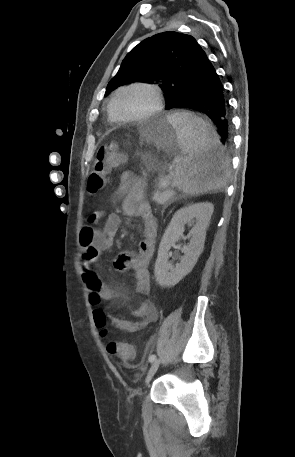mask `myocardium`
Wrapping results in <instances>:
<instances>
[{
    "label": "myocardium",
    "instance_id": "1",
    "mask_svg": "<svg viewBox=\"0 0 295 457\" xmlns=\"http://www.w3.org/2000/svg\"><path fill=\"white\" fill-rule=\"evenodd\" d=\"M132 88H143V89L149 90L154 98V105L150 110H148L147 112H145L141 115L134 116V117H119L114 112V102L116 100V97L122 91L132 89ZM163 103H164L163 95H162L160 88L157 85L151 84V83H145V82H135V83H131V84L122 86L114 92V94L112 95V97L109 101V104H108V112H109L111 119L116 122H122V123L139 122V121L148 120V119L152 118L153 116L157 115L162 110Z\"/></svg>",
    "mask_w": 295,
    "mask_h": 457
}]
</instances>
